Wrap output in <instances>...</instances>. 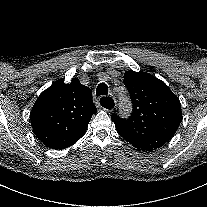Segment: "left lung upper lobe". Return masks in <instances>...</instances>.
I'll return each instance as SVG.
<instances>
[{
  "label": "left lung upper lobe",
  "instance_id": "5c2ea615",
  "mask_svg": "<svg viewBox=\"0 0 207 207\" xmlns=\"http://www.w3.org/2000/svg\"><path fill=\"white\" fill-rule=\"evenodd\" d=\"M133 104L129 119L111 116L117 132L135 148L150 151L163 146L182 120L178 97L161 80L145 72L124 74Z\"/></svg>",
  "mask_w": 207,
  "mask_h": 207
}]
</instances>
